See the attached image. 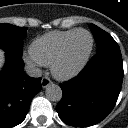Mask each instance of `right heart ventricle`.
Returning <instances> with one entry per match:
<instances>
[{"label": "right heart ventricle", "instance_id": "e07e8e85", "mask_svg": "<svg viewBox=\"0 0 128 128\" xmlns=\"http://www.w3.org/2000/svg\"><path fill=\"white\" fill-rule=\"evenodd\" d=\"M76 29L52 31L37 37L30 46V53L44 66H51L65 40Z\"/></svg>", "mask_w": 128, "mask_h": 128}]
</instances>
